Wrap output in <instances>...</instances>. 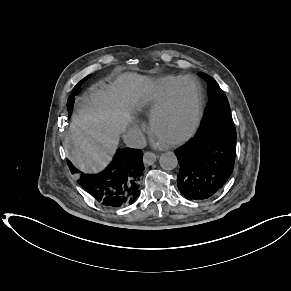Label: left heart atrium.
Segmentation results:
<instances>
[{
  "mask_svg": "<svg viewBox=\"0 0 291 291\" xmlns=\"http://www.w3.org/2000/svg\"><path fill=\"white\" fill-rule=\"evenodd\" d=\"M157 142H158V143H163L164 141H163L162 139L158 138V139H157Z\"/></svg>",
  "mask_w": 291,
  "mask_h": 291,
  "instance_id": "1",
  "label": "left heart atrium"
}]
</instances>
